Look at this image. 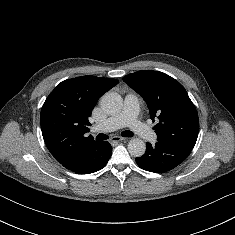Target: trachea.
Masks as SVG:
<instances>
[{"instance_id":"obj_1","label":"trachea","mask_w":235,"mask_h":235,"mask_svg":"<svg viewBox=\"0 0 235 235\" xmlns=\"http://www.w3.org/2000/svg\"><path fill=\"white\" fill-rule=\"evenodd\" d=\"M122 136L123 137H132L133 136V132L126 130L124 132H122ZM109 137L106 134L100 133L97 135L96 140L100 141V140H106Z\"/></svg>"}]
</instances>
